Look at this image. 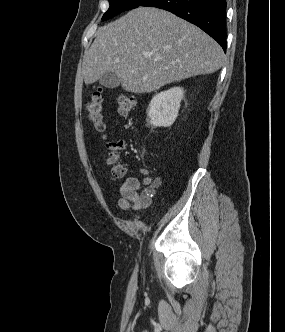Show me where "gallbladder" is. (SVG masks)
<instances>
[{"label":"gallbladder","mask_w":285,"mask_h":332,"mask_svg":"<svg viewBox=\"0 0 285 332\" xmlns=\"http://www.w3.org/2000/svg\"><path fill=\"white\" fill-rule=\"evenodd\" d=\"M101 85L108 89H114L120 85L119 78L112 72L106 73L99 79Z\"/></svg>","instance_id":"obj_1"}]
</instances>
